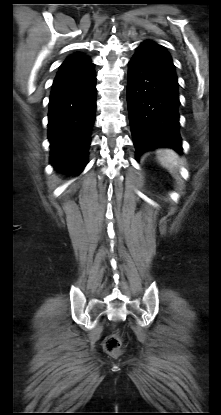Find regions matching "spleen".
<instances>
[{"label":"spleen","instance_id":"1","mask_svg":"<svg viewBox=\"0 0 221 415\" xmlns=\"http://www.w3.org/2000/svg\"><path fill=\"white\" fill-rule=\"evenodd\" d=\"M157 158L160 164L173 176H177L180 168L179 156L172 149H159Z\"/></svg>","mask_w":221,"mask_h":415}]
</instances>
